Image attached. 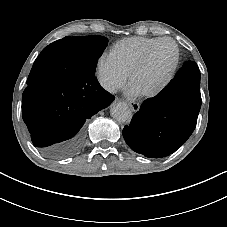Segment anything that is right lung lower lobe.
<instances>
[{
	"instance_id": "obj_1",
	"label": "right lung lower lobe",
	"mask_w": 227,
	"mask_h": 227,
	"mask_svg": "<svg viewBox=\"0 0 227 227\" xmlns=\"http://www.w3.org/2000/svg\"><path fill=\"white\" fill-rule=\"evenodd\" d=\"M48 45L33 66L44 79L26 87L22 96L23 120L34 146L49 159L78 152L83 144L85 122L115 99L96 77L85 79L59 72L57 55L62 44Z\"/></svg>"
}]
</instances>
